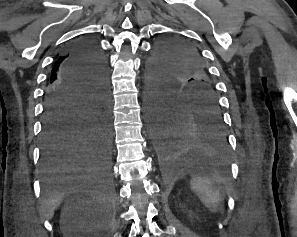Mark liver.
Returning a JSON list of instances; mask_svg holds the SVG:
<instances>
[{
  "instance_id": "6515ba94",
  "label": "liver",
  "mask_w": 297,
  "mask_h": 237,
  "mask_svg": "<svg viewBox=\"0 0 297 237\" xmlns=\"http://www.w3.org/2000/svg\"><path fill=\"white\" fill-rule=\"evenodd\" d=\"M93 181L89 176H70L65 179V191H79L81 190L86 184L92 183ZM64 193L58 194L57 196L48 198L45 200V204L48 208V216L52 217L56 207L58 206L59 202L62 200Z\"/></svg>"
}]
</instances>
